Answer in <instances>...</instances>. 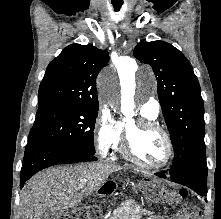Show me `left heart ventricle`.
<instances>
[{"instance_id":"left-heart-ventricle-1","label":"left heart ventricle","mask_w":221,"mask_h":219,"mask_svg":"<svg viewBox=\"0 0 221 219\" xmlns=\"http://www.w3.org/2000/svg\"><path fill=\"white\" fill-rule=\"evenodd\" d=\"M132 128L133 124H129ZM133 150L136 156L150 165L161 164L167 153L163 135L155 130L141 129L132 133Z\"/></svg>"}]
</instances>
